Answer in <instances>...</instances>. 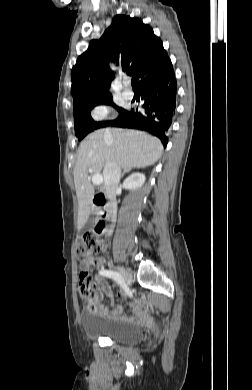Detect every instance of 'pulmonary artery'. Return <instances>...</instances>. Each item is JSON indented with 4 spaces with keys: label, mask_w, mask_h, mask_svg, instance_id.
<instances>
[{
    "label": "pulmonary artery",
    "mask_w": 252,
    "mask_h": 390,
    "mask_svg": "<svg viewBox=\"0 0 252 390\" xmlns=\"http://www.w3.org/2000/svg\"><path fill=\"white\" fill-rule=\"evenodd\" d=\"M123 96L126 98V99H132L134 97V92L132 91V89L130 88V83L129 81H126L125 82V89L123 91Z\"/></svg>",
    "instance_id": "1"
}]
</instances>
